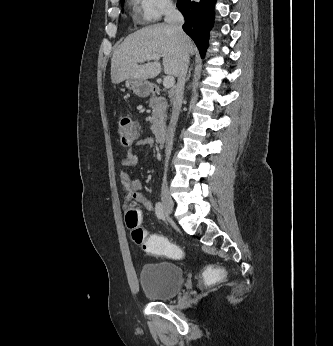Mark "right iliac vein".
I'll use <instances>...</instances> for the list:
<instances>
[{
    "mask_svg": "<svg viewBox=\"0 0 333 346\" xmlns=\"http://www.w3.org/2000/svg\"><path fill=\"white\" fill-rule=\"evenodd\" d=\"M161 201L165 215L170 216L173 211V201L169 195L168 187L166 185L162 186Z\"/></svg>",
    "mask_w": 333,
    "mask_h": 346,
    "instance_id": "1",
    "label": "right iliac vein"
}]
</instances>
